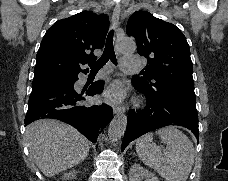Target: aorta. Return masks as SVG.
Listing matches in <instances>:
<instances>
[{
	"mask_svg": "<svg viewBox=\"0 0 228 181\" xmlns=\"http://www.w3.org/2000/svg\"><path fill=\"white\" fill-rule=\"evenodd\" d=\"M117 50L121 53H132L136 49L135 42L130 38H122L117 42ZM127 126V116L120 114L115 117L108 129L109 139L112 141L119 140L125 133Z\"/></svg>",
	"mask_w": 228,
	"mask_h": 181,
	"instance_id": "762f6f07",
	"label": "aorta"
}]
</instances>
